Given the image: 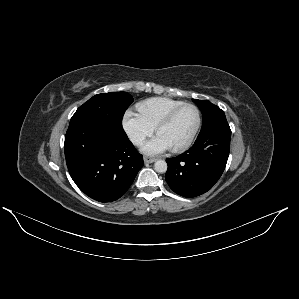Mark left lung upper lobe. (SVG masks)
<instances>
[{"instance_id":"obj_1","label":"left lung upper lobe","mask_w":299,"mask_h":299,"mask_svg":"<svg viewBox=\"0 0 299 299\" xmlns=\"http://www.w3.org/2000/svg\"><path fill=\"white\" fill-rule=\"evenodd\" d=\"M193 101L198 105L203 114V124L200 133L217 125L228 124L223 110L218 106L212 104L208 100L193 99Z\"/></svg>"}]
</instances>
